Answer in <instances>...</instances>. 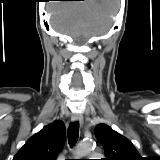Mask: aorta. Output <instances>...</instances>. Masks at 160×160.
I'll use <instances>...</instances> for the list:
<instances>
[{
    "mask_svg": "<svg viewBox=\"0 0 160 160\" xmlns=\"http://www.w3.org/2000/svg\"><path fill=\"white\" fill-rule=\"evenodd\" d=\"M93 148V142L91 140H86V141H82L77 149H76V154L79 157H82L86 154H88Z\"/></svg>",
    "mask_w": 160,
    "mask_h": 160,
    "instance_id": "aorta-1",
    "label": "aorta"
}]
</instances>
